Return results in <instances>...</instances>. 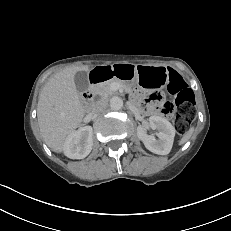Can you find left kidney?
I'll use <instances>...</instances> for the list:
<instances>
[{
	"mask_svg": "<svg viewBox=\"0 0 231 231\" xmlns=\"http://www.w3.org/2000/svg\"><path fill=\"white\" fill-rule=\"evenodd\" d=\"M149 123L152 129L158 130V140L155 136L147 134L141 126L137 128L138 138L149 151L159 155L169 154L175 137V128L168 120L160 116H151Z\"/></svg>",
	"mask_w": 231,
	"mask_h": 231,
	"instance_id": "5707ae66",
	"label": "left kidney"
}]
</instances>
